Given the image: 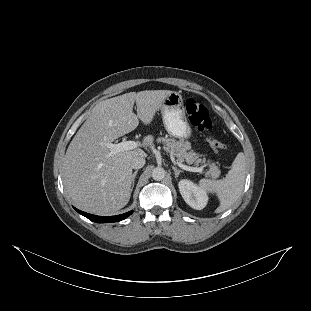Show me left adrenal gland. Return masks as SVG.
I'll return each mask as SVG.
<instances>
[{
	"instance_id": "left-adrenal-gland-1",
	"label": "left adrenal gland",
	"mask_w": 311,
	"mask_h": 311,
	"mask_svg": "<svg viewBox=\"0 0 311 311\" xmlns=\"http://www.w3.org/2000/svg\"><path fill=\"white\" fill-rule=\"evenodd\" d=\"M172 169L175 172V178H178V176L182 172V170H179L177 167H174V166H172Z\"/></svg>"
}]
</instances>
